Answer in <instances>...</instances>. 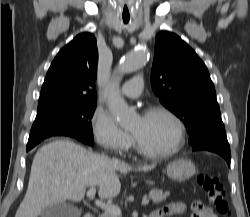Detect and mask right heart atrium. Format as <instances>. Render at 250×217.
Returning a JSON list of instances; mask_svg holds the SVG:
<instances>
[{
  "label": "right heart atrium",
  "mask_w": 250,
  "mask_h": 217,
  "mask_svg": "<svg viewBox=\"0 0 250 217\" xmlns=\"http://www.w3.org/2000/svg\"><path fill=\"white\" fill-rule=\"evenodd\" d=\"M91 132L95 141L103 149L123 154L133 145V139L122 130L114 118L104 109L96 108L91 117Z\"/></svg>",
  "instance_id": "d8ad5b80"
}]
</instances>
